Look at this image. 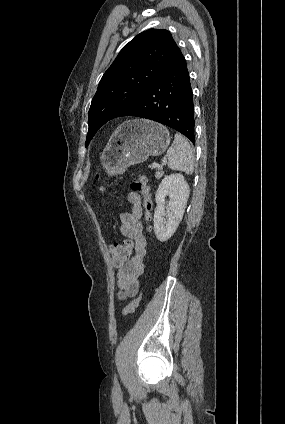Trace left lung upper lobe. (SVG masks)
I'll return each mask as SVG.
<instances>
[{
	"instance_id": "left-lung-upper-lobe-1",
	"label": "left lung upper lobe",
	"mask_w": 285,
	"mask_h": 424,
	"mask_svg": "<svg viewBox=\"0 0 285 424\" xmlns=\"http://www.w3.org/2000/svg\"><path fill=\"white\" fill-rule=\"evenodd\" d=\"M176 46L169 31L150 29L122 48L102 76L92 99L86 147L106 122L137 100L157 79Z\"/></svg>"
}]
</instances>
